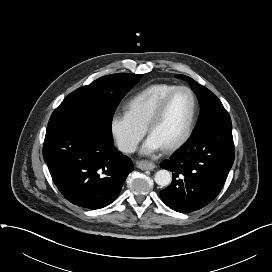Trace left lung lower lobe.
I'll use <instances>...</instances> for the list:
<instances>
[{
  "mask_svg": "<svg viewBox=\"0 0 272 272\" xmlns=\"http://www.w3.org/2000/svg\"><path fill=\"white\" fill-rule=\"evenodd\" d=\"M234 156L231 122L192 133L170 159L160 164L173 173L172 183L160 191L162 201L181 213L203 208L221 191Z\"/></svg>",
  "mask_w": 272,
  "mask_h": 272,
  "instance_id": "left-lung-lower-lobe-1",
  "label": "left lung lower lobe"
}]
</instances>
